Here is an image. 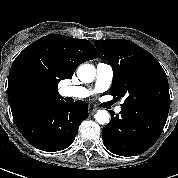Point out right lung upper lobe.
Masks as SVG:
<instances>
[{"instance_id": "cb5924a9", "label": "right lung upper lobe", "mask_w": 178, "mask_h": 178, "mask_svg": "<svg viewBox=\"0 0 178 178\" xmlns=\"http://www.w3.org/2000/svg\"><path fill=\"white\" fill-rule=\"evenodd\" d=\"M98 51L85 39L49 34L27 46L14 60L8 78L12 113L26 104L60 98L58 83L72 78L83 62Z\"/></svg>"}]
</instances>
